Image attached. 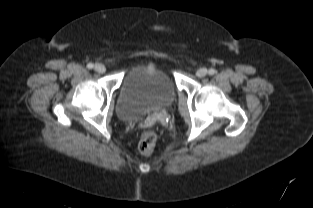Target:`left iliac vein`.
<instances>
[{
    "label": "left iliac vein",
    "instance_id": "obj_1",
    "mask_svg": "<svg viewBox=\"0 0 313 208\" xmlns=\"http://www.w3.org/2000/svg\"><path fill=\"white\" fill-rule=\"evenodd\" d=\"M207 74H208V71L205 68H200L196 72V75L200 78L205 77Z\"/></svg>",
    "mask_w": 313,
    "mask_h": 208
}]
</instances>
